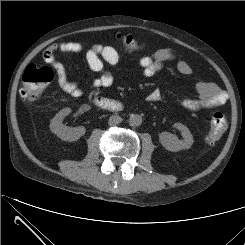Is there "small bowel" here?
I'll list each match as a JSON object with an SVG mask.
<instances>
[{
  "mask_svg": "<svg viewBox=\"0 0 245 245\" xmlns=\"http://www.w3.org/2000/svg\"><path fill=\"white\" fill-rule=\"evenodd\" d=\"M84 49V46L79 42H58L46 48L42 55L43 61L54 68L58 86L73 97L82 96L83 89L75 82L69 80L66 67L57 59L56 53L78 54L82 53ZM86 61L89 68L97 73L92 86L94 88L109 87L113 82V76L104 68V64L114 65L119 62L117 50L111 46L93 45L86 51ZM168 63H173L177 71L182 75H190L192 73L191 66L168 49H158L139 60L142 73L147 78L155 75ZM197 92L198 96L196 98L182 101L180 103L181 108L188 111L210 109L225 103L227 100L225 92L211 82H199L197 84ZM148 98L150 101H157L160 96L157 92H152Z\"/></svg>",
  "mask_w": 245,
  "mask_h": 245,
  "instance_id": "small-bowel-1",
  "label": "small bowel"
}]
</instances>
